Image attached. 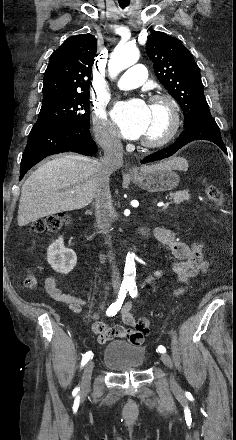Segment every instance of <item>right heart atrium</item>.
<instances>
[{"label": "right heart atrium", "instance_id": "right-heart-atrium-1", "mask_svg": "<svg viewBox=\"0 0 236 440\" xmlns=\"http://www.w3.org/2000/svg\"><path fill=\"white\" fill-rule=\"evenodd\" d=\"M93 132L96 141L104 148L114 151L119 146L117 133L108 118L103 106L98 105L94 108Z\"/></svg>", "mask_w": 236, "mask_h": 440}]
</instances>
